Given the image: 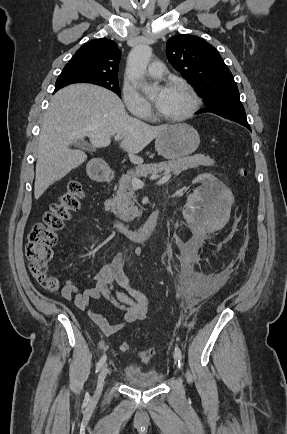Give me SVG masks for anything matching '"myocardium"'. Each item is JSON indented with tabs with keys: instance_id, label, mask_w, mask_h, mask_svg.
I'll use <instances>...</instances> for the list:
<instances>
[{
	"instance_id": "1",
	"label": "myocardium",
	"mask_w": 287,
	"mask_h": 434,
	"mask_svg": "<svg viewBox=\"0 0 287 434\" xmlns=\"http://www.w3.org/2000/svg\"><path fill=\"white\" fill-rule=\"evenodd\" d=\"M169 87H178V88L184 90L190 98V105H189L188 109L186 110V112H184L182 115H179V116H174V117L165 116V115L161 114L158 110L156 111V116L160 120L168 122V123L184 122V121L188 120L189 118H191L197 112V110L199 109V106H200V98H199L197 92L194 90V88L186 81L172 80L169 82Z\"/></svg>"
}]
</instances>
